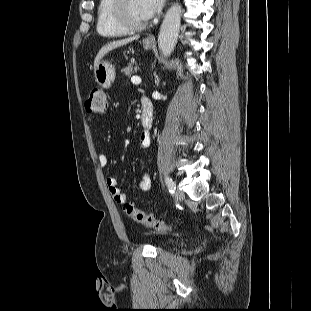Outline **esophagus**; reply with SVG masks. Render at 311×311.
Masks as SVG:
<instances>
[{"label":"esophagus","instance_id":"esophagus-1","mask_svg":"<svg viewBox=\"0 0 311 311\" xmlns=\"http://www.w3.org/2000/svg\"><path fill=\"white\" fill-rule=\"evenodd\" d=\"M147 40H149V41H153L154 40V38L151 36V37H148V39Z\"/></svg>","mask_w":311,"mask_h":311}]
</instances>
